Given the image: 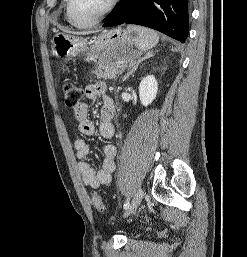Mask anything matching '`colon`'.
<instances>
[{"mask_svg":"<svg viewBox=\"0 0 247 257\" xmlns=\"http://www.w3.org/2000/svg\"><path fill=\"white\" fill-rule=\"evenodd\" d=\"M62 92L64 96V102L69 107L77 105L83 97L82 89L72 81H64L62 83ZM92 206L95 210L103 212L105 210V204L103 198L93 193L91 197Z\"/></svg>","mask_w":247,"mask_h":257,"instance_id":"5ec220e1","label":"colon"}]
</instances>
